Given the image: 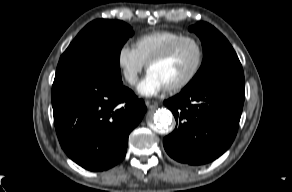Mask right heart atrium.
Instances as JSON below:
<instances>
[{"instance_id":"obj_1","label":"right heart atrium","mask_w":292,"mask_h":192,"mask_svg":"<svg viewBox=\"0 0 292 192\" xmlns=\"http://www.w3.org/2000/svg\"><path fill=\"white\" fill-rule=\"evenodd\" d=\"M116 62L123 79L130 86H134L145 67L135 47L129 44L121 45L116 54Z\"/></svg>"}]
</instances>
